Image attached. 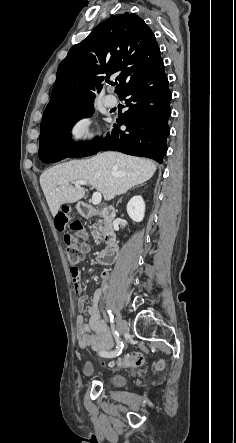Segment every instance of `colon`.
<instances>
[{"mask_svg": "<svg viewBox=\"0 0 236 443\" xmlns=\"http://www.w3.org/2000/svg\"><path fill=\"white\" fill-rule=\"evenodd\" d=\"M56 224L59 227H67L68 232L66 233L64 240L66 243V257L68 262L73 266L81 262L84 258V252L77 244L78 233L82 230V224L79 221H69L67 212H59L56 216ZM144 356L141 353H133L125 355L118 358L115 361L109 363L110 366L117 367H138L143 365ZM158 368L161 369L162 365L159 364Z\"/></svg>", "mask_w": 236, "mask_h": 443, "instance_id": "colon-1", "label": "colon"}]
</instances>
